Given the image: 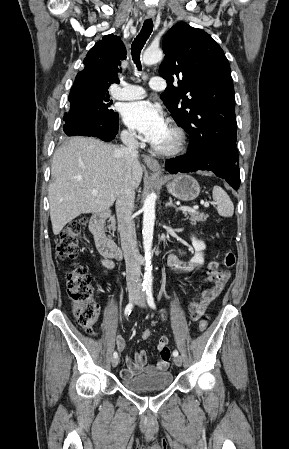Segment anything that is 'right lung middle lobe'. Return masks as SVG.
Masks as SVG:
<instances>
[{"label":"right lung middle lobe","instance_id":"1","mask_svg":"<svg viewBox=\"0 0 289 449\" xmlns=\"http://www.w3.org/2000/svg\"><path fill=\"white\" fill-rule=\"evenodd\" d=\"M108 89L95 90L84 95L75 109L64 115L77 121H89L96 124H108L116 116V112L110 109L112 101L107 92ZM65 133V132H64ZM67 134V133H65ZM69 136V134H67Z\"/></svg>","mask_w":289,"mask_h":449}]
</instances>
